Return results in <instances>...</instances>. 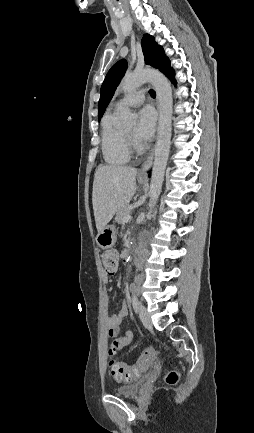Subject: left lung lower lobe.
I'll return each mask as SVG.
<instances>
[{"mask_svg":"<svg viewBox=\"0 0 254 433\" xmlns=\"http://www.w3.org/2000/svg\"><path fill=\"white\" fill-rule=\"evenodd\" d=\"M163 73L172 81V82H174V71H173V69L170 67V66H168L164 71H163Z\"/></svg>","mask_w":254,"mask_h":433,"instance_id":"0a47b994","label":"left lung lower lobe"}]
</instances>
